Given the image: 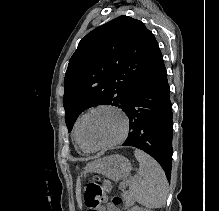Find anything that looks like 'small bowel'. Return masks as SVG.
Wrapping results in <instances>:
<instances>
[{"mask_svg": "<svg viewBox=\"0 0 219 211\" xmlns=\"http://www.w3.org/2000/svg\"><path fill=\"white\" fill-rule=\"evenodd\" d=\"M85 203L88 211H118L108 204L107 197L102 192L91 188L85 193Z\"/></svg>", "mask_w": 219, "mask_h": 211, "instance_id": "c3829d8e", "label": "small bowel"}]
</instances>
